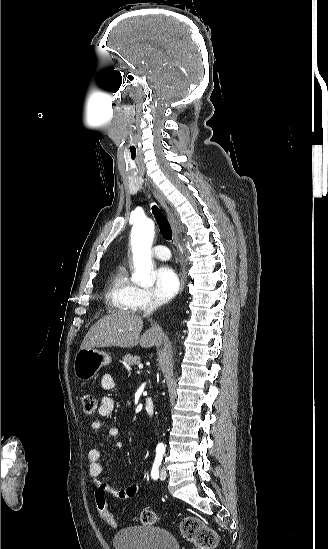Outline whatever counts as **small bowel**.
I'll use <instances>...</instances> for the list:
<instances>
[{"instance_id":"1","label":"small bowel","mask_w":328,"mask_h":549,"mask_svg":"<svg viewBox=\"0 0 328 549\" xmlns=\"http://www.w3.org/2000/svg\"><path fill=\"white\" fill-rule=\"evenodd\" d=\"M101 386L104 390L114 389V378L110 374L103 375L101 379ZM114 407L115 401L112 397L104 396L101 399L100 406L98 407L99 418L94 419L90 424V427L93 431H99L102 428L103 422L101 419L110 415L113 412ZM109 435L115 440L116 450H120L122 445L118 440L119 430L113 427L109 430ZM100 457L101 453L96 448L89 450L87 454L88 474L91 477L95 487L102 486L106 493L120 500H128L136 496L139 491L138 483L129 484L124 488H116L105 482L104 478L102 477L103 467L100 463Z\"/></svg>"}]
</instances>
